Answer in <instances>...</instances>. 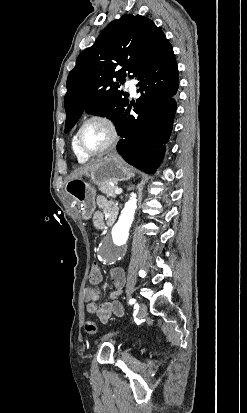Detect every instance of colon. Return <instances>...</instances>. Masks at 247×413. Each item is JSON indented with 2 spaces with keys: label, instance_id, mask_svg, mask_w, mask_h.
Returning <instances> with one entry per match:
<instances>
[{
  "label": "colon",
  "instance_id": "1",
  "mask_svg": "<svg viewBox=\"0 0 247 413\" xmlns=\"http://www.w3.org/2000/svg\"><path fill=\"white\" fill-rule=\"evenodd\" d=\"M88 277L94 282L101 281V267L94 262L88 264ZM84 330L88 334L96 333V323L92 319L84 321Z\"/></svg>",
  "mask_w": 247,
  "mask_h": 413
}]
</instances>
